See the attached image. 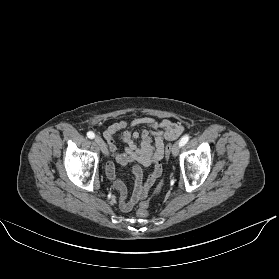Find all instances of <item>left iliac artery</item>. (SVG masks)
Masks as SVG:
<instances>
[{"label": "left iliac artery", "mask_w": 279, "mask_h": 279, "mask_svg": "<svg viewBox=\"0 0 279 279\" xmlns=\"http://www.w3.org/2000/svg\"><path fill=\"white\" fill-rule=\"evenodd\" d=\"M189 138V135H184L179 142L180 146H184L188 142Z\"/></svg>", "instance_id": "1"}]
</instances>
